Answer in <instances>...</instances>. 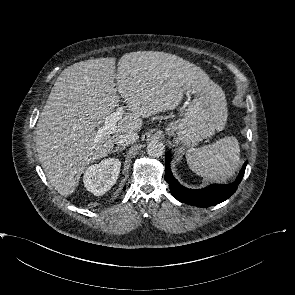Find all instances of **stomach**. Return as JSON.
Masks as SVG:
<instances>
[{
  "label": "stomach",
  "mask_w": 295,
  "mask_h": 295,
  "mask_svg": "<svg viewBox=\"0 0 295 295\" xmlns=\"http://www.w3.org/2000/svg\"><path fill=\"white\" fill-rule=\"evenodd\" d=\"M193 100L183 118L172 121L166 133L184 148H192L200 141L222 130L227 119V103L223 90L211 80L192 86L189 90Z\"/></svg>",
  "instance_id": "stomach-1"
}]
</instances>
